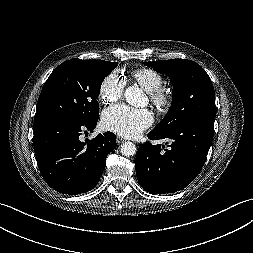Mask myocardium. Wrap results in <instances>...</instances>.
<instances>
[{
	"instance_id": "obj_1",
	"label": "myocardium",
	"mask_w": 253,
	"mask_h": 253,
	"mask_svg": "<svg viewBox=\"0 0 253 253\" xmlns=\"http://www.w3.org/2000/svg\"><path fill=\"white\" fill-rule=\"evenodd\" d=\"M150 99L152 103L160 110L167 111L172 104L171 94L163 87H159L151 92H149Z\"/></svg>"
}]
</instances>
